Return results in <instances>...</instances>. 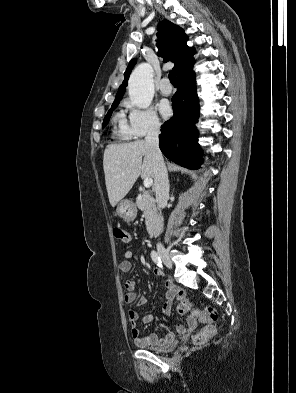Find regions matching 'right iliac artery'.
Masks as SVG:
<instances>
[{
	"label": "right iliac artery",
	"instance_id": "obj_1",
	"mask_svg": "<svg viewBox=\"0 0 296 393\" xmlns=\"http://www.w3.org/2000/svg\"><path fill=\"white\" fill-rule=\"evenodd\" d=\"M151 258L154 261V263L157 264V266L162 267V261L155 251L151 252Z\"/></svg>",
	"mask_w": 296,
	"mask_h": 393
}]
</instances>
